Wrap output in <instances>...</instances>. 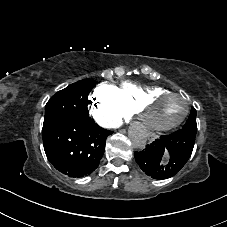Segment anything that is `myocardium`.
Instances as JSON below:
<instances>
[{"mask_svg":"<svg viewBox=\"0 0 227 227\" xmlns=\"http://www.w3.org/2000/svg\"><path fill=\"white\" fill-rule=\"evenodd\" d=\"M164 96H180L185 100L186 107L182 116L173 123L167 126H157L149 122L148 117L146 115V110L153 102ZM189 111H190L189 97L185 93L179 91H164L148 95L143 99V101L139 104V106L136 109L140 123L145 127V129L150 131H170L177 128L187 118Z\"/></svg>","mask_w":227,"mask_h":227,"instance_id":"obj_1","label":"myocardium"}]
</instances>
